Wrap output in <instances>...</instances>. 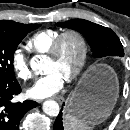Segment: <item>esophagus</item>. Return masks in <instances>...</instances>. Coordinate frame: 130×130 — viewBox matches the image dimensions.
Wrapping results in <instances>:
<instances>
[{
  "label": "esophagus",
  "mask_w": 130,
  "mask_h": 130,
  "mask_svg": "<svg viewBox=\"0 0 130 130\" xmlns=\"http://www.w3.org/2000/svg\"><path fill=\"white\" fill-rule=\"evenodd\" d=\"M54 100H56L59 103H63L64 102V98L62 96L54 97ZM38 102H42V100H39Z\"/></svg>",
  "instance_id": "1"
}]
</instances>
